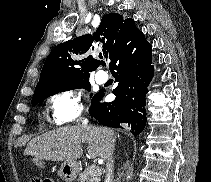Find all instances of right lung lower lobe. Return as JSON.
<instances>
[{
  "label": "right lung lower lobe",
  "mask_w": 211,
  "mask_h": 182,
  "mask_svg": "<svg viewBox=\"0 0 211 182\" xmlns=\"http://www.w3.org/2000/svg\"><path fill=\"white\" fill-rule=\"evenodd\" d=\"M151 50L152 46L140 31L117 51L111 67L117 71L115 80L119 82L113 90L116 98L110 103H99L104 96V90H100L92 98L91 117L114 128H121L120 123H128L134 136L143 131L146 125L145 97L154 74Z\"/></svg>",
  "instance_id": "98d812e1"
}]
</instances>
